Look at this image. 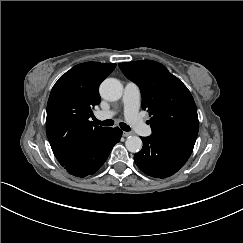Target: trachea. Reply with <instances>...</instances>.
I'll list each match as a JSON object with an SVG mask.
<instances>
[{
    "label": "trachea",
    "mask_w": 243,
    "mask_h": 243,
    "mask_svg": "<svg viewBox=\"0 0 243 243\" xmlns=\"http://www.w3.org/2000/svg\"><path fill=\"white\" fill-rule=\"evenodd\" d=\"M93 120H94L95 123H97L101 126H113L114 125V121L111 120V119L100 121V120H98L94 117ZM120 128L124 131H130L131 130L130 126H128L126 123H123V122L120 123Z\"/></svg>",
    "instance_id": "3493384b"
}]
</instances>
